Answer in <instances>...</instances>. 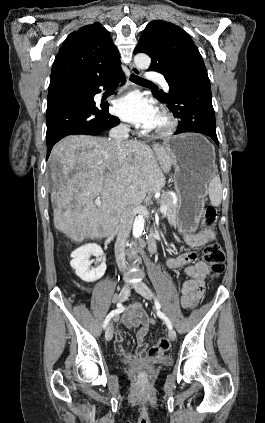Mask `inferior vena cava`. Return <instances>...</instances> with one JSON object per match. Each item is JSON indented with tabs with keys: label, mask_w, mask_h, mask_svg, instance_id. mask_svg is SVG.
Returning a JSON list of instances; mask_svg holds the SVG:
<instances>
[{
	"label": "inferior vena cava",
	"mask_w": 265,
	"mask_h": 423,
	"mask_svg": "<svg viewBox=\"0 0 265 423\" xmlns=\"http://www.w3.org/2000/svg\"><path fill=\"white\" fill-rule=\"evenodd\" d=\"M130 128L125 124H119L109 132L110 142L113 143L121 156L123 148L128 142ZM134 211L132 206H127L120 219V227L115 242V258L120 271L126 270L125 246L132 228Z\"/></svg>",
	"instance_id": "obj_1"
}]
</instances>
